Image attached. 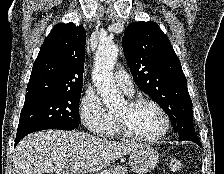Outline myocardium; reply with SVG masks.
I'll return each mask as SVG.
<instances>
[{"instance_id":"myocardium-1","label":"myocardium","mask_w":224,"mask_h":174,"mask_svg":"<svg viewBox=\"0 0 224 174\" xmlns=\"http://www.w3.org/2000/svg\"><path fill=\"white\" fill-rule=\"evenodd\" d=\"M143 103H147V104L154 106L157 109V111L160 113V115L163 119V128H162L161 132L152 137H143V136L137 135L130 130V128L127 126L126 122L123 119H121L120 117L115 115V122H116L117 130H118V133L122 137H124L128 140L137 141V142H145V143H154V142H157V141L163 139L169 132L170 118H169L167 112L165 111V109L160 105V103L152 98L135 97V98H130L126 101V104L130 109L135 108L136 106L143 104Z\"/></svg>"}]
</instances>
